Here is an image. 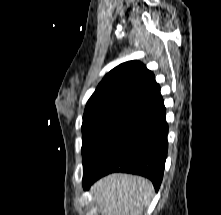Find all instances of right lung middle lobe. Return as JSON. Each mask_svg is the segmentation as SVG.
<instances>
[{"label":"right lung middle lobe","mask_w":221,"mask_h":215,"mask_svg":"<svg viewBox=\"0 0 221 215\" xmlns=\"http://www.w3.org/2000/svg\"><path fill=\"white\" fill-rule=\"evenodd\" d=\"M136 108L119 103L87 104L82 124V159L85 171L120 124Z\"/></svg>","instance_id":"dd1d6c3e"}]
</instances>
